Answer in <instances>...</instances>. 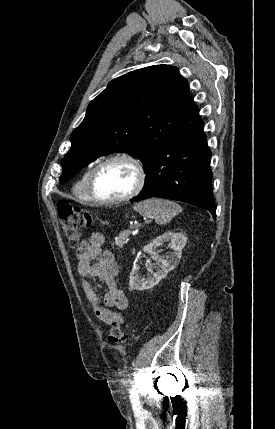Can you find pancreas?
I'll list each match as a JSON object with an SVG mask.
<instances>
[{
  "instance_id": "cf45deb5",
  "label": "pancreas",
  "mask_w": 275,
  "mask_h": 429,
  "mask_svg": "<svg viewBox=\"0 0 275 429\" xmlns=\"http://www.w3.org/2000/svg\"><path fill=\"white\" fill-rule=\"evenodd\" d=\"M130 233H131L130 230H125V231L121 232L118 237H116V242L115 243H116V245L119 248L123 247V245L125 244L126 240L130 236Z\"/></svg>"
}]
</instances>
